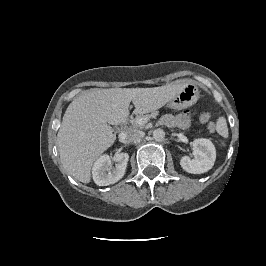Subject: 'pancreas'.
<instances>
[{
	"label": "pancreas",
	"instance_id": "1",
	"mask_svg": "<svg viewBox=\"0 0 266 266\" xmlns=\"http://www.w3.org/2000/svg\"><path fill=\"white\" fill-rule=\"evenodd\" d=\"M156 115V113H151V114H147V115H138V116H136L135 118H133L132 120H131V124H132V127L133 128H136V129H143V128H145V123H139L138 122V120L140 119V118H151V117H153V116H155Z\"/></svg>",
	"mask_w": 266,
	"mask_h": 266
}]
</instances>
